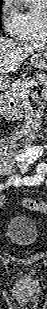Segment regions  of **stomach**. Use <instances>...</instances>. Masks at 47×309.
I'll list each match as a JSON object with an SVG mask.
<instances>
[{
  "label": "stomach",
  "mask_w": 47,
  "mask_h": 309,
  "mask_svg": "<svg viewBox=\"0 0 47 309\" xmlns=\"http://www.w3.org/2000/svg\"><path fill=\"white\" fill-rule=\"evenodd\" d=\"M30 63L35 68L47 70V47L37 50V52L32 55Z\"/></svg>",
  "instance_id": "obj_1"
}]
</instances>
